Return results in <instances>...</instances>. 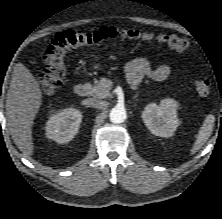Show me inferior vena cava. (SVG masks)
<instances>
[{
  "mask_svg": "<svg viewBox=\"0 0 222 219\" xmlns=\"http://www.w3.org/2000/svg\"><path fill=\"white\" fill-rule=\"evenodd\" d=\"M88 104L94 108H102L104 106V102L98 99H89Z\"/></svg>",
  "mask_w": 222,
  "mask_h": 219,
  "instance_id": "1",
  "label": "inferior vena cava"
}]
</instances>
